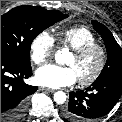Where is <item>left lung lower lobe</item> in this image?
<instances>
[{"instance_id":"left-lung-lower-lobe-1","label":"left lung lower lobe","mask_w":122,"mask_h":122,"mask_svg":"<svg viewBox=\"0 0 122 122\" xmlns=\"http://www.w3.org/2000/svg\"><path fill=\"white\" fill-rule=\"evenodd\" d=\"M122 94V79L94 82L86 90L70 92L63 115L74 122H90L108 114Z\"/></svg>"}]
</instances>
